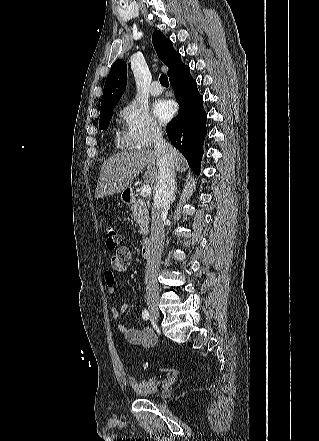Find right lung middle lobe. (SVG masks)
I'll return each mask as SVG.
<instances>
[{"label": "right lung middle lobe", "mask_w": 319, "mask_h": 441, "mask_svg": "<svg viewBox=\"0 0 319 441\" xmlns=\"http://www.w3.org/2000/svg\"><path fill=\"white\" fill-rule=\"evenodd\" d=\"M113 109H114V106L107 107V108L100 110V120H99V128L100 129L107 130L109 123H110V120L113 115Z\"/></svg>", "instance_id": "dd1d6c3e"}]
</instances>
